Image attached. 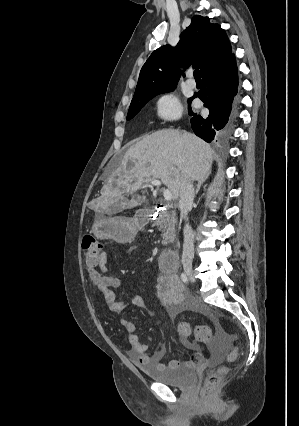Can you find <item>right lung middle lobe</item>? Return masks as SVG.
I'll use <instances>...</instances> for the list:
<instances>
[{
    "label": "right lung middle lobe",
    "mask_w": 299,
    "mask_h": 426,
    "mask_svg": "<svg viewBox=\"0 0 299 426\" xmlns=\"http://www.w3.org/2000/svg\"><path fill=\"white\" fill-rule=\"evenodd\" d=\"M175 89V87L170 88V89H166L163 91H159V92H154V93H147L145 95H141L139 97L134 98L131 101L130 107H129V111L127 114V120L132 119L142 108L143 106L153 97H155L158 94L161 93H166V92H170L173 91Z\"/></svg>",
    "instance_id": "right-lung-middle-lobe-1"
}]
</instances>
